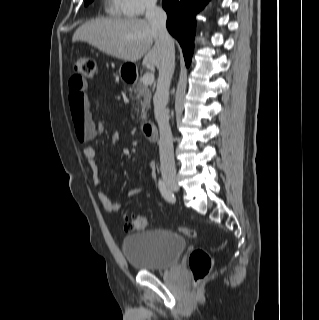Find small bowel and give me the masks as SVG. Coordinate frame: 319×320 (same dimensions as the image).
Here are the masks:
<instances>
[{"label":"small bowel","instance_id":"small-bowel-1","mask_svg":"<svg viewBox=\"0 0 319 320\" xmlns=\"http://www.w3.org/2000/svg\"><path fill=\"white\" fill-rule=\"evenodd\" d=\"M87 83L84 80L79 79L76 76H73L69 80V104L70 111L73 116L75 113L83 114L88 122L92 125L94 129L95 137L99 136L103 130L104 125L102 123H96L93 121L90 110H89V101L87 98ZM119 139L117 133L111 135L110 141L112 144L116 143ZM84 157L89 162L90 176L93 184L96 187L101 185V176L99 173V166L97 162V154L95 149L92 146H86L83 150ZM149 168L153 171L155 169V164L149 162ZM143 192V189L140 187L129 189L126 192L128 198H133ZM99 202L102 204L104 209L108 212H117L121 209V204L119 202L113 201L109 195L104 190H99L97 193Z\"/></svg>","mask_w":319,"mask_h":320}]
</instances>
